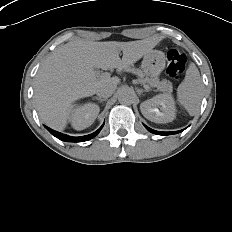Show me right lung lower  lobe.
<instances>
[{
  "label": "right lung lower lobe",
  "mask_w": 232,
  "mask_h": 232,
  "mask_svg": "<svg viewBox=\"0 0 232 232\" xmlns=\"http://www.w3.org/2000/svg\"><path fill=\"white\" fill-rule=\"evenodd\" d=\"M46 128L49 130V132L52 135H54L55 137H57L58 139H60L62 141H66V142H83V141H87V140H90L93 137H95L100 132L102 126L97 131H95L94 133L86 135V136H81V137H71V136L62 134L60 132H57V131L49 128V127H46Z\"/></svg>",
  "instance_id": "obj_1"
}]
</instances>
